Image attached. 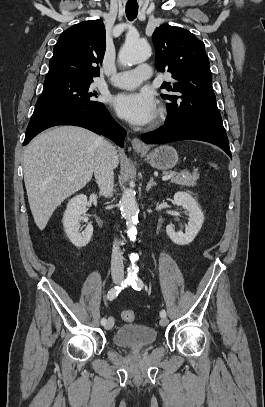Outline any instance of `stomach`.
Instances as JSON below:
<instances>
[{
	"label": "stomach",
	"mask_w": 265,
	"mask_h": 407,
	"mask_svg": "<svg viewBox=\"0 0 265 407\" xmlns=\"http://www.w3.org/2000/svg\"><path fill=\"white\" fill-rule=\"evenodd\" d=\"M141 154L145 156L146 160L153 168L159 170L171 169L178 163L177 151L168 145H161L149 154Z\"/></svg>",
	"instance_id": "stomach-1"
}]
</instances>
